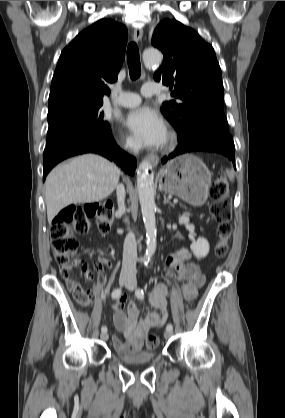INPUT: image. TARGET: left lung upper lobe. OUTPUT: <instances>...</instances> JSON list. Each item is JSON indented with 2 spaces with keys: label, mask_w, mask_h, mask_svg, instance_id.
<instances>
[{
  "label": "left lung upper lobe",
  "mask_w": 285,
  "mask_h": 418,
  "mask_svg": "<svg viewBox=\"0 0 285 418\" xmlns=\"http://www.w3.org/2000/svg\"><path fill=\"white\" fill-rule=\"evenodd\" d=\"M152 45L164 59L154 79L173 89L175 100L161 111L176 129L179 142L205 130L229 133L223 108V83L215 51L193 29L165 19L155 28Z\"/></svg>",
  "instance_id": "left-lung-upper-lobe-1"
}]
</instances>
